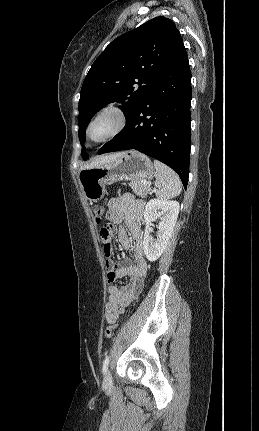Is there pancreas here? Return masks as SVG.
Listing matches in <instances>:
<instances>
[{"instance_id":"1","label":"pancreas","mask_w":259,"mask_h":431,"mask_svg":"<svg viewBox=\"0 0 259 431\" xmlns=\"http://www.w3.org/2000/svg\"><path fill=\"white\" fill-rule=\"evenodd\" d=\"M129 185L132 188L133 192L142 198H145L150 192L149 184H143L142 180H133L132 182H130Z\"/></svg>"}]
</instances>
